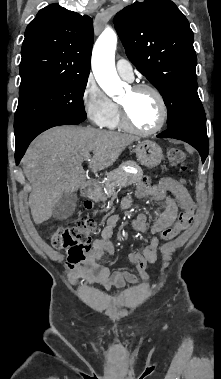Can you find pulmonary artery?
Returning <instances> with one entry per match:
<instances>
[{"label": "pulmonary artery", "instance_id": "1", "mask_svg": "<svg viewBox=\"0 0 221 379\" xmlns=\"http://www.w3.org/2000/svg\"><path fill=\"white\" fill-rule=\"evenodd\" d=\"M116 70L120 77L125 80L132 81L134 77L133 68L130 62L120 59L116 63Z\"/></svg>", "mask_w": 221, "mask_h": 379}]
</instances>
